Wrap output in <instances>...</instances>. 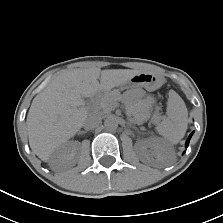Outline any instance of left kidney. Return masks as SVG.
<instances>
[{
	"mask_svg": "<svg viewBox=\"0 0 223 223\" xmlns=\"http://www.w3.org/2000/svg\"><path fill=\"white\" fill-rule=\"evenodd\" d=\"M136 149L141 161L153 166H170L175 160V152L171 144L159 138L138 141Z\"/></svg>",
	"mask_w": 223,
	"mask_h": 223,
	"instance_id": "left-kidney-1",
	"label": "left kidney"
}]
</instances>
